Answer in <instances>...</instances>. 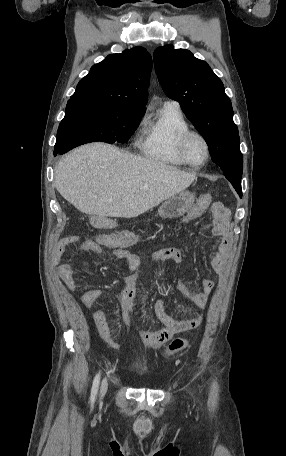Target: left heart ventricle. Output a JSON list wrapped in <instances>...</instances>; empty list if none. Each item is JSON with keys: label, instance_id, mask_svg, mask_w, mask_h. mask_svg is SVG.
<instances>
[{"label": "left heart ventricle", "instance_id": "left-heart-ventricle-1", "mask_svg": "<svg viewBox=\"0 0 286 456\" xmlns=\"http://www.w3.org/2000/svg\"><path fill=\"white\" fill-rule=\"evenodd\" d=\"M188 159L194 164L202 163L206 158V148L203 141L193 136L191 137L185 147Z\"/></svg>", "mask_w": 286, "mask_h": 456}]
</instances>
